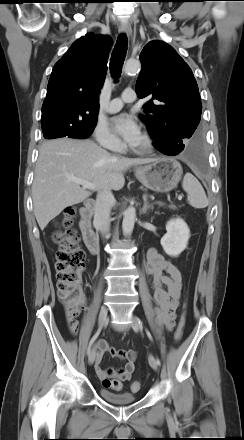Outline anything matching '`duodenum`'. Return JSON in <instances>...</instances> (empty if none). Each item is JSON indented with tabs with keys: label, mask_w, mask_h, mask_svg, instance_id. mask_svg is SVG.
<instances>
[{
	"label": "duodenum",
	"mask_w": 244,
	"mask_h": 440,
	"mask_svg": "<svg viewBox=\"0 0 244 440\" xmlns=\"http://www.w3.org/2000/svg\"><path fill=\"white\" fill-rule=\"evenodd\" d=\"M94 207V200H88L80 210V230L84 243L92 254H96L99 249V239L91 225Z\"/></svg>",
	"instance_id": "duodenum-1"
}]
</instances>
